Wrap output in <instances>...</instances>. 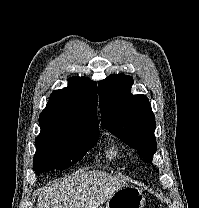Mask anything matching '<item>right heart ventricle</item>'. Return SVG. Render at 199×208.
I'll use <instances>...</instances> for the list:
<instances>
[{"instance_id": "e07e8e85", "label": "right heart ventricle", "mask_w": 199, "mask_h": 208, "mask_svg": "<svg viewBox=\"0 0 199 208\" xmlns=\"http://www.w3.org/2000/svg\"><path fill=\"white\" fill-rule=\"evenodd\" d=\"M125 156L122 149H120L117 145H112L107 151H106V157L109 160H119Z\"/></svg>"}]
</instances>
